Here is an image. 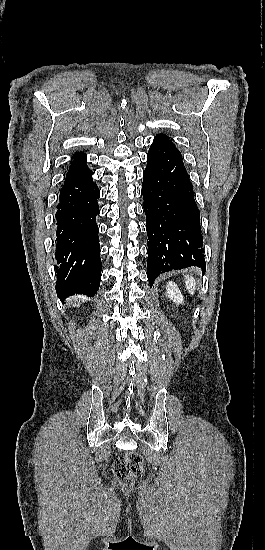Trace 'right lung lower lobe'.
I'll return each mask as SVG.
<instances>
[{"label": "right lung lower lobe", "mask_w": 265, "mask_h": 550, "mask_svg": "<svg viewBox=\"0 0 265 550\" xmlns=\"http://www.w3.org/2000/svg\"><path fill=\"white\" fill-rule=\"evenodd\" d=\"M86 154L77 152L69 166L57 206L55 257L59 263L56 292L61 298L93 296L101 278L100 246L96 216L100 190L87 167Z\"/></svg>", "instance_id": "1"}]
</instances>
